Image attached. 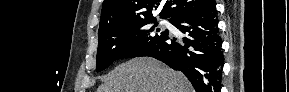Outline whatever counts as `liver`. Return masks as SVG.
Here are the masks:
<instances>
[{
    "label": "liver",
    "mask_w": 289,
    "mask_h": 92,
    "mask_svg": "<svg viewBox=\"0 0 289 92\" xmlns=\"http://www.w3.org/2000/svg\"><path fill=\"white\" fill-rule=\"evenodd\" d=\"M97 92H193L187 78L151 57L133 58L112 70Z\"/></svg>",
    "instance_id": "liver-1"
}]
</instances>
